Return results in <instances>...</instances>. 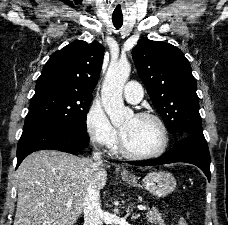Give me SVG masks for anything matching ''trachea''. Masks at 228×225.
Segmentation results:
<instances>
[{
    "instance_id": "obj_1",
    "label": "trachea",
    "mask_w": 228,
    "mask_h": 225,
    "mask_svg": "<svg viewBox=\"0 0 228 225\" xmlns=\"http://www.w3.org/2000/svg\"><path fill=\"white\" fill-rule=\"evenodd\" d=\"M113 24L116 28H120L122 23H123V19L122 18H113Z\"/></svg>"
}]
</instances>
